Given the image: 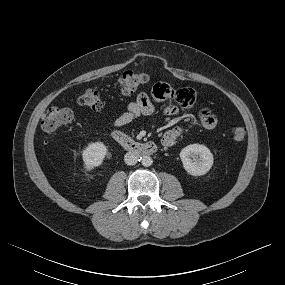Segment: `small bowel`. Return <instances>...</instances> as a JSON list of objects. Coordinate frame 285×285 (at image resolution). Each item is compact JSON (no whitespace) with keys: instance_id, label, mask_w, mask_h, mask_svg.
<instances>
[{"instance_id":"1","label":"small bowel","mask_w":285,"mask_h":285,"mask_svg":"<svg viewBox=\"0 0 285 285\" xmlns=\"http://www.w3.org/2000/svg\"><path fill=\"white\" fill-rule=\"evenodd\" d=\"M151 97L146 92H140L135 100L131 101L126 110L118 116L111 126L113 128L123 127L142 115H150L155 110L154 102L161 104L167 114H176L177 108L181 105L191 106L195 103L196 92L192 88L180 90L171 89L166 83H157L151 89ZM217 117L210 109H202L199 113L200 125L208 130L214 129L217 125ZM182 134L181 127H173L165 132L162 137L164 146L174 145Z\"/></svg>"}]
</instances>
